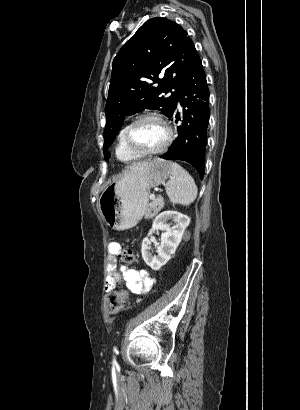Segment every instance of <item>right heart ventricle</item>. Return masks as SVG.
<instances>
[{
	"mask_svg": "<svg viewBox=\"0 0 300 410\" xmlns=\"http://www.w3.org/2000/svg\"><path fill=\"white\" fill-rule=\"evenodd\" d=\"M127 126L128 125H125L118 133L115 152L117 158L120 161L132 162L139 159L140 157L130 151L124 143V132Z\"/></svg>",
	"mask_w": 300,
	"mask_h": 410,
	"instance_id": "1",
	"label": "right heart ventricle"
}]
</instances>
